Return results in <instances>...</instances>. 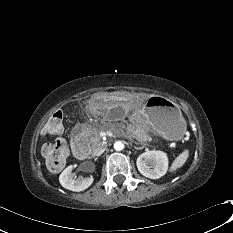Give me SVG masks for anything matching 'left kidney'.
Segmentation results:
<instances>
[{
  "mask_svg": "<svg viewBox=\"0 0 233 233\" xmlns=\"http://www.w3.org/2000/svg\"><path fill=\"white\" fill-rule=\"evenodd\" d=\"M136 164L143 176L158 179L168 170V157L163 151L147 150L138 156Z\"/></svg>",
  "mask_w": 233,
  "mask_h": 233,
  "instance_id": "left-kidney-1",
  "label": "left kidney"
}]
</instances>
